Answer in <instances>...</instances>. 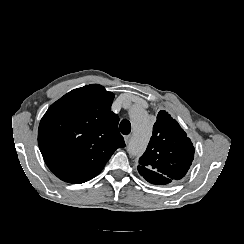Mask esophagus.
<instances>
[{
    "instance_id": "34e87169",
    "label": "esophagus",
    "mask_w": 244,
    "mask_h": 244,
    "mask_svg": "<svg viewBox=\"0 0 244 244\" xmlns=\"http://www.w3.org/2000/svg\"><path fill=\"white\" fill-rule=\"evenodd\" d=\"M124 140H125V143H126V144H129L130 141H131V135H126V136L124 137Z\"/></svg>"
}]
</instances>
